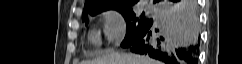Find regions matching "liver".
<instances>
[{
  "instance_id": "6515ba94",
  "label": "liver",
  "mask_w": 242,
  "mask_h": 64,
  "mask_svg": "<svg viewBox=\"0 0 242 64\" xmlns=\"http://www.w3.org/2000/svg\"><path fill=\"white\" fill-rule=\"evenodd\" d=\"M182 25L190 35L198 36V23L193 19H182ZM81 64H159V62L136 54H111L91 61H82Z\"/></svg>"
}]
</instances>
